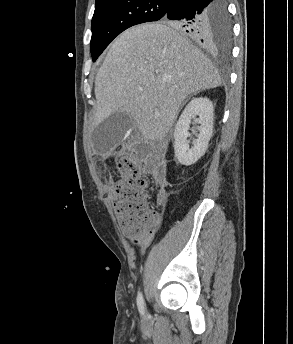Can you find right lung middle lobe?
Segmentation results:
<instances>
[{
    "mask_svg": "<svg viewBox=\"0 0 293 344\" xmlns=\"http://www.w3.org/2000/svg\"><path fill=\"white\" fill-rule=\"evenodd\" d=\"M172 0H109L95 4L92 18L91 54L93 61L109 43L127 28L145 22L164 20ZM209 19L212 43L226 51L231 44V24L224 0H218ZM180 27L177 22L171 23Z\"/></svg>",
    "mask_w": 293,
    "mask_h": 344,
    "instance_id": "1",
    "label": "right lung middle lobe"
}]
</instances>
